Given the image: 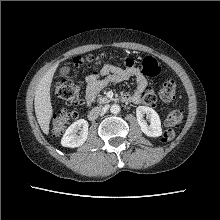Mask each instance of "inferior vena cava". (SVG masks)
<instances>
[{"mask_svg": "<svg viewBox=\"0 0 220 220\" xmlns=\"http://www.w3.org/2000/svg\"><path fill=\"white\" fill-rule=\"evenodd\" d=\"M106 110L107 109L105 107L104 108L96 107V108H93L92 112L102 115L106 112Z\"/></svg>", "mask_w": 220, "mask_h": 220, "instance_id": "1", "label": "inferior vena cava"}]
</instances>
